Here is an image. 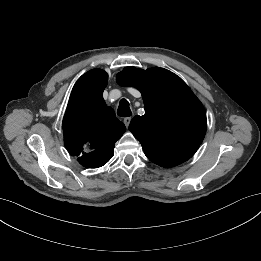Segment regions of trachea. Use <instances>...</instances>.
I'll return each mask as SVG.
<instances>
[{
    "label": "trachea",
    "instance_id": "1",
    "mask_svg": "<svg viewBox=\"0 0 261 261\" xmlns=\"http://www.w3.org/2000/svg\"><path fill=\"white\" fill-rule=\"evenodd\" d=\"M117 114L120 117H129L132 115L129 102L126 99H121L118 106Z\"/></svg>",
    "mask_w": 261,
    "mask_h": 261
}]
</instances>
